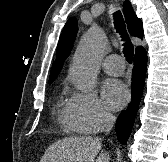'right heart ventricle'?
I'll use <instances>...</instances> for the list:
<instances>
[{"label":"right heart ventricle","instance_id":"obj_1","mask_svg":"<svg viewBox=\"0 0 168 162\" xmlns=\"http://www.w3.org/2000/svg\"><path fill=\"white\" fill-rule=\"evenodd\" d=\"M58 115L60 120L62 121V123L64 125H66L67 127H69V129L74 132V133H84L82 130H80L79 128H77L76 126L72 125L67 117V113H66V107L65 108H59L58 109Z\"/></svg>","mask_w":168,"mask_h":162}]
</instances>
